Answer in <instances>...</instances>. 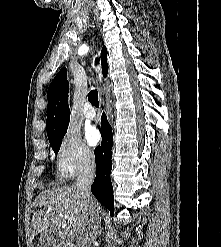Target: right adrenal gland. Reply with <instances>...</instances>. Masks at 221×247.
I'll return each mask as SVG.
<instances>
[{
    "mask_svg": "<svg viewBox=\"0 0 221 247\" xmlns=\"http://www.w3.org/2000/svg\"><path fill=\"white\" fill-rule=\"evenodd\" d=\"M101 232H102V231H101V229H100V230L98 231V233L101 234Z\"/></svg>",
    "mask_w": 221,
    "mask_h": 247,
    "instance_id": "1",
    "label": "right adrenal gland"
}]
</instances>
